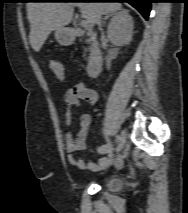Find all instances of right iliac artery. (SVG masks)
Segmentation results:
<instances>
[{"label": "right iliac artery", "mask_w": 188, "mask_h": 213, "mask_svg": "<svg viewBox=\"0 0 188 213\" xmlns=\"http://www.w3.org/2000/svg\"><path fill=\"white\" fill-rule=\"evenodd\" d=\"M119 140H120V137H119V135H117L116 138H115V142L118 143Z\"/></svg>", "instance_id": "obj_1"}]
</instances>
